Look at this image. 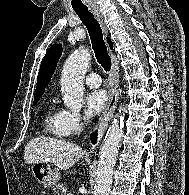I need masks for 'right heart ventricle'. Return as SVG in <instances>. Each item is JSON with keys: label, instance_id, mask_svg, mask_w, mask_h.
Returning a JSON list of instances; mask_svg holds the SVG:
<instances>
[{"label": "right heart ventricle", "instance_id": "right-heart-ventricle-1", "mask_svg": "<svg viewBox=\"0 0 189 195\" xmlns=\"http://www.w3.org/2000/svg\"><path fill=\"white\" fill-rule=\"evenodd\" d=\"M42 127L44 133L49 135L56 137L67 135L64 131V110L59 108L53 101L49 102L45 108Z\"/></svg>", "mask_w": 189, "mask_h": 195}]
</instances>
